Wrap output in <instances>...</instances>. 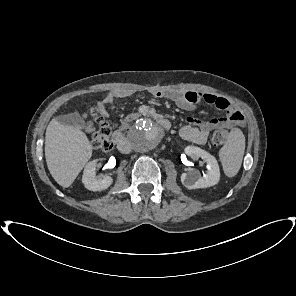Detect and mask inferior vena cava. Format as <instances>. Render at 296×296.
Wrapping results in <instances>:
<instances>
[{
    "label": "inferior vena cava",
    "mask_w": 296,
    "mask_h": 296,
    "mask_svg": "<svg viewBox=\"0 0 296 296\" xmlns=\"http://www.w3.org/2000/svg\"><path fill=\"white\" fill-rule=\"evenodd\" d=\"M119 149L123 153H129L130 152V144L128 141H124L123 144L119 145Z\"/></svg>",
    "instance_id": "inferior-vena-cava-1"
}]
</instances>
